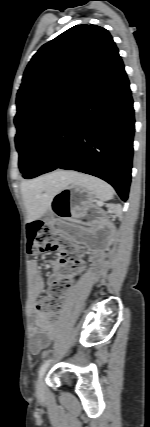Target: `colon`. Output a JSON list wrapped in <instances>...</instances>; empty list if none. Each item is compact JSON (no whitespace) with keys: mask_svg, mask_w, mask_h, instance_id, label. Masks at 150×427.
Segmentation results:
<instances>
[{"mask_svg":"<svg viewBox=\"0 0 150 427\" xmlns=\"http://www.w3.org/2000/svg\"><path fill=\"white\" fill-rule=\"evenodd\" d=\"M27 251L38 256L46 251H59L62 259L56 277L52 280L47 296L38 302V309L47 314L52 324L58 323L59 312L71 279L83 267V250L73 244L65 235L56 233L42 221H34L27 229Z\"/></svg>","mask_w":150,"mask_h":427,"instance_id":"5ec220e1","label":"colon"}]
</instances>
